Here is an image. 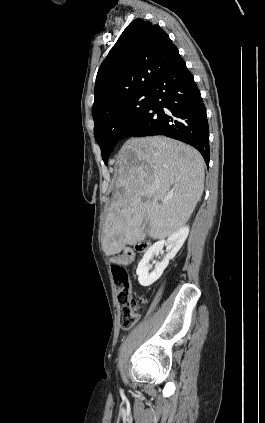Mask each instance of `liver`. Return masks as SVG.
I'll return each instance as SVG.
<instances>
[{
	"label": "liver",
	"instance_id": "1",
	"mask_svg": "<svg viewBox=\"0 0 265 423\" xmlns=\"http://www.w3.org/2000/svg\"><path fill=\"white\" fill-rule=\"evenodd\" d=\"M204 166L199 151L180 141L128 139L116 159L117 192L105 220V254H119L147 235L164 239L183 227L202 196Z\"/></svg>",
	"mask_w": 265,
	"mask_h": 423
}]
</instances>
